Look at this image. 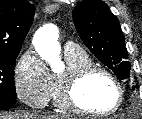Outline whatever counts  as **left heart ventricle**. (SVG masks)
Instances as JSON below:
<instances>
[{
	"label": "left heart ventricle",
	"mask_w": 142,
	"mask_h": 119,
	"mask_svg": "<svg viewBox=\"0 0 142 119\" xmlns=\"http://www.w3.org/2000/svg\"><path fill=\"white\" fill-rule=\"evenodd\" d=\"M78 100L87 109L102 112L112 108L117 100L113 83L102 74L90 77L78 92Z\"/></svg>",
	"instance_id": "obj_1"
}]
</instances>
